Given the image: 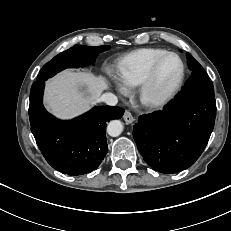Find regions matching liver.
<instances>
[{
    "label": "liver",
    "instance_id": "liver-1",
    "mask_svg": "<svg viewBox=\"0 0 231 231\" xmlns=\"http://www.w3.org/2000/svg\"><path fill=\"white\" fill-rule=\"evenodd\" d=\"M108 86L102 76L65 70L46 83L45 105L56 117L71 119L95 104Z\"/></svg>",
    "mask_w": 231,
    "mask_h": 231
}]
</instances>
